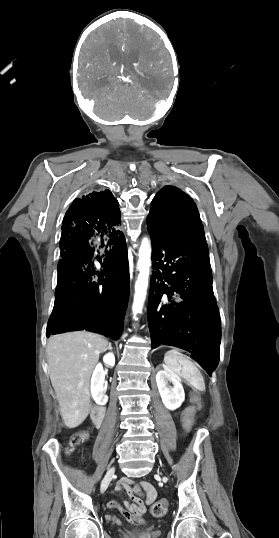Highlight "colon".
<instances>
[{"mask_svg": "<svg viewBox=\"0 0 279 538\" xmlns=\"http://www.w3.org/2000/svg\"><path fill=\"white\" fill-rule=\"evenodd\" d=\"M198 400H199L198 398H195V401H198ZM184 422H185L186 429L188 431H191L192 426H193L192 418L187 417ZM87 438H88V434L86 431H81L74 434L70 440L69 450L71 451L75 447L81 445L87 440ZM167 511H168V502L165 499H160L156 501L151 507L152 515L155 517H162L167 513Z\"/></svg>", "mask_w": 279, "mask_h": 538, "instance_id": "colon-1", "label": "colon"}]
</instances>
